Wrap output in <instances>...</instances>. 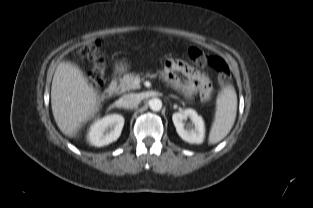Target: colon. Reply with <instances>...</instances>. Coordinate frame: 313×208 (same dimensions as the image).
<instances>
[{"mask_svg":"<svg viewBox=\"0 0 313 208\" xmlns=\"http://www.w3.org/2000/svg\"><path fill=\"white\" fill-rule=\"evenodd\" d=\"M101 48V42L99 40L93 43L83 46L79 50V55L82 58L96 60L99 58ZM190 59L198 65H203L208 63L217 73L218 82L220 84H225L230 79V70L228 65L219 57H207L204 52L196 47H191L188 51ZM90 79L95 85H103L104 83V70L102 66L97 65L90 72Z\"/></svg>","mask_w":313,"mask_h":208,"instance_id":"5ec220e1","label":"colon"}]
</instances>
